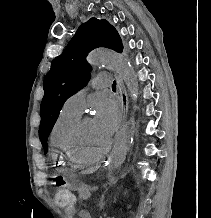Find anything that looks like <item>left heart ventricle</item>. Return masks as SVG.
Here are the masks:
<instances>
[{"instance_id":"obj_1","label":"left heart ventricle","mask_w":211,"mask_h":218,"mask_svg":"<svg viewBox=\"0 0 211 218\" xmlns=\"http://www.w3.org/2000/svg\"><path fill=\"white\" fill-rule=\"evenodd\" d=\"M111 138L102 133L95 125L94 120L87 121L79 135V147L84 152L95 153L108 146Z\"/></svg>"}]
</instances>
